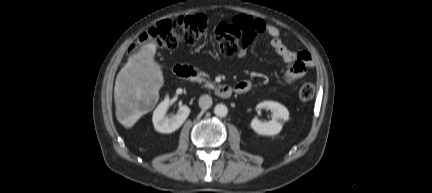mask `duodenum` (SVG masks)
<instances>
[{
	"mask_svg": "<svg viewBox=\"0 0 432 193\" xmlns=\"http://www.w3.org/2000/svg\"><path fill=\"white\" fill-rule=\"evenodd\" d=\"M173 71L178 78L196 82L199 79L198 71L190 65L178 64L174 66ZM217 95L221 98H229L233 92L234 87L228 85H218L215 88Z\"/></svg>",
	"mask_w": 432,
	"mask_h": 193,
	"instance_id": "duodenum-1",
	"label": "duodenum"
}]
</instances>
